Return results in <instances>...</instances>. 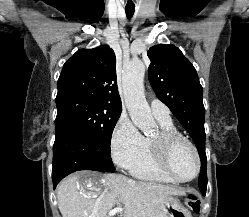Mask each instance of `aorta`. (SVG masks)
Instances as JSON below:
<instances>
[{"mask_svg": "<svg viewBox=\"0 0 249 217\" xmlns=\"http://www.w3.org/2000/svg\"><path fill=\"white\" fill-rule=\"evenodd\" d=\"M144 76V63L131 62L124 69L123 92L131 120L143 133H149L154 128L155 121L144 95Z\"/></svg>", "mask_w": 249, "mask_h": 217, "instance_id": "762f6f07", "label": "aorta"}]
</instances>
